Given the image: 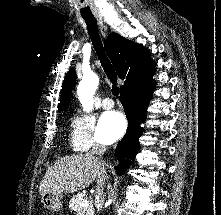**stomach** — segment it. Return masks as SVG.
Listing matches in <instances>:
<instances>
[{
  "instance_id": "stomach-1",
  "label": "stomach",
  "mask_w": 221,
  "mask_h": 215,
  "mask_svg": "<svg viewBox=\"0 0 221 215\" xmlns=\"http://www.w3.org/2000/svg\"><path fill=\"white\" fill-rule=\"evenodd\" d=\"M42 203L44 206L53 212H59L62 210L63 204H62V199L63 195L54 193V192H48L45 193L42 196Z\"/></svg>"
}]
</instances>
